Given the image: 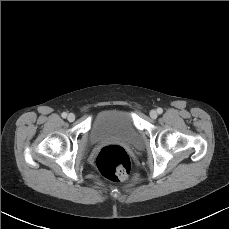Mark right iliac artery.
<instances>
[{
	"mask_svg": "<svg viewBox=\"0 0 229 229\" xmlns=\"http://www.w3.org/2000/svg\"><path fill=\"white\" fill-rule=\"evenodd\" d=\"M61 116H62L63 118H66V117H67V113H66V112H63V113L61 114Z\"/></svg>",
	"mask_w": 229,
	"mask_h": 229,
	"instance_id": "82829eb1",
	"label": "right iliac artery"
}]
</instances>
